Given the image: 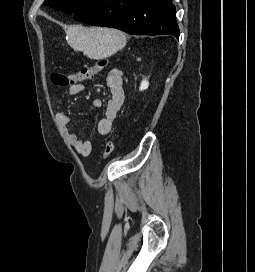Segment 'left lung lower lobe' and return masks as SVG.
I'll return each mask as SVG.
<instances>
[{
	"label": "left lung lower lobe",
	"instance_id": "obj_1",
	"mask_svg": "<svg viewBox=\"0 0 255 272\" xmlns=\"http://www.w3.org/2000/svg\"><path fill=\"white\" fill-rule=\"evenodd\" d=\"M175 12L171 0H94L73 19L133 35L170 34L179 39Z\"/></svg>",
	"mask_w": 255,
	"mask_h": 272
}]
</instances>
